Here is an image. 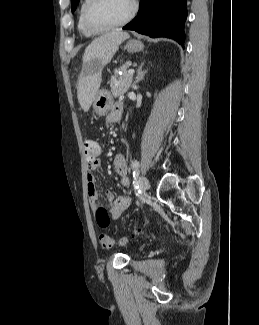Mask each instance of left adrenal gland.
Segmentation results:
<instances>
[{"label": "left adrenal gland", "mask_w": 259, "mask_h": 325, "mask_svg": "<svg viewBox=\"0 0 259 325\" xmlns=\"http://www.w3.org/2000/svg\"><path fill=\"white\" fill-rule=\"evenodd\" d=\"M143 65H144V63H141V65L138 67L137 76H136V79H135V82H134V86L144 79L145 73L147 71L142 70Z\"/></svg>", "instance_id": "obj_1"}]
</instances>
